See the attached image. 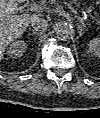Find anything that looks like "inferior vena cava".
<instances>
[{
	"instance_id": "602c4592",
	"label": "inferior vena cava",
	"mask_w": 100,
	"mask_h": 118,
	"mask_svg": "<svg viewBox=\"0 0 100 118\" xmlns=\"http://www.w3.org/2000/svg\"><path fill=\"white\" fill-rule=\"evenodd\" d=\"M31 26L35 31L44 32L48 28V22L44 18H34L31 20Z\"/></svg>"
}]
</instances>
